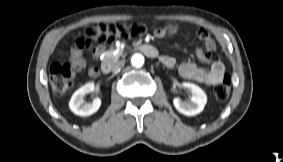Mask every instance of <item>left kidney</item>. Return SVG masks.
<instances>
[{
  "label": "left kidney",
  "mask_w": 283,
  "mask_h": 162,
  "mask_svg": "<svg viewBox=\"0 0 283 162\" xmlns=\"http://www.w3.org/2000/svg\"><path fill=\"white\" fill-rule=\"evenodd\" d=\"M182 87L187 89L191 96L184 101L179 97L173 99L177 111L186 116H194L202 112L207 103L205 92L199 86L189 82H183Z\"/></svg>",
  "instance_id": "5707ae66"
}]
</instances>
